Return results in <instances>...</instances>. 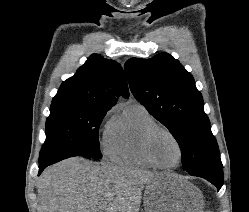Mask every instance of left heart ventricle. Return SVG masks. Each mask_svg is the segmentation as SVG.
I'll return each mask as SVG.
<instances>
[{
  "label": "left heart ventricle",
  "instance_id": "obj_1",
  "mask_svg": "<svg viewBox=\"0 0 249 212\" xmlns=\"http://www.w3.org/2000/svg\"><path fill=\"white\" fill-rule=\"evenodd\" d=\"M153 153L156 159L166 165H173L179 159L175 142L166 134H159L153 141Z\"/></svg>",
  "mask_w": 249,
  "mask_h": 212
}]
</instances>
